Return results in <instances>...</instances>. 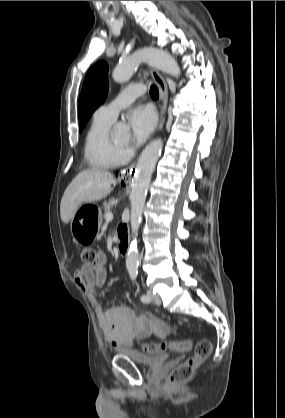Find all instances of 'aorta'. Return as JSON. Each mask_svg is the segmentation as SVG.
Returning a JSON list of instances; mask_svg holds the SVG:
<instances>
[{"label": "aorta", "instance_id": "aorta-1", "mask_svg": "<svg viewBox=\"0 0 285 418\" xmlns=\"http://www.w3.org/2000/svg\"><path fill=\"white\" fill-rule=\"evenodd\" d=\"M142 61L173 77L177 78L180 76L178 63L169 53L157 48H146L136 51L129 57L123 58L113 70V79L118 83L127 82ZM162 148L163 141L161 139H155L145 147L139 157L136 172L132 179V191L130 195L132 241L126 258V268L129 273H135L138 269L139 253L137 249V235L151 176Z\"/></svg>", "mask_w": 285, "mask_h": 418}]
</instances>
